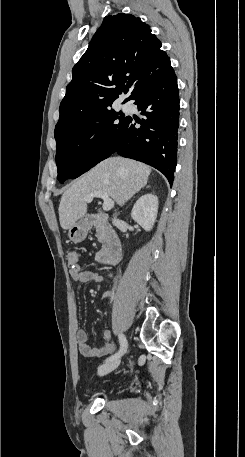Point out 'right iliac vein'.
I'll list each match as a JSON object with an SVG mask.
<instances>
[{"label": "right iliac vein", "mask_w": 245, "mask_h": 457, "mask_svg": "<svg viewBox=\"0 0 245 457\" xmlns=\"http://www.w3.org/2000/svg\"><path fill=\"white\" fill-rule=\"evenodd\" d=\"M120 364V360L114 359L110 360L98 367V374L99 375H106L116 369Z\"/></svg>", "instance_id": "right-iliac-vein-1"}]
</instances>
